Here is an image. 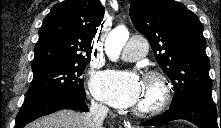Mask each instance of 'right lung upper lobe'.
I'll use <instances>...</instances> for the list:
<instances>
[{"label":"right lung upper lobe","instance_id":"cb5924a9","mask_svg":"<svg viewBox=\"0 0 221 128\" xmlns=\"http://www.w3.org/2000/svg\"><path fill=\"white\" fill-rule=\"evenodd\" d=\"M103 16L100 0H65L54 5L39 30L33 72L90 59Z\"/></svg>","mask_w":221,"mask_h":128}]
</instances>
